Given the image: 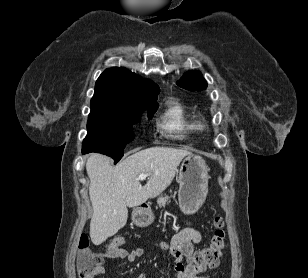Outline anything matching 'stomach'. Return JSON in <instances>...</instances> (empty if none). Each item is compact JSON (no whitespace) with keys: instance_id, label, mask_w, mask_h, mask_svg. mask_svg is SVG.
<instances>
[{"instance_id":"stomach-1","label":"stomach","mask_w":308,"mask_h":278,"mask_svg":"<svg viewBox=\"0 0 308 278\" xmlns=\"http://www.w3.org/2000/svg\"><path fill=\"white\" fill-rule=\"evenodd\" d=\"M208 166L203 158L190 154L184 158L178 172V201L181 211L193 214L204 203L208 193ZM134 222L142 227L154 221L150 208H139L134 212Z\"/></svg>"}]
</instances>
